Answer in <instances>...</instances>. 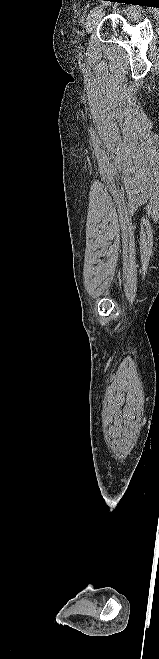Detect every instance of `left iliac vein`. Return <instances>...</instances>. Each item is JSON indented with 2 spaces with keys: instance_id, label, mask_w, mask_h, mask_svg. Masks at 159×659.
<instances>
[{
  "instance_id": "1",
  "label": "left iliac vein",
  "mask_w": 159,
  "mask_h": 659,
  "mask_svg": "<svg viewBox=\"0 0 159 659\" xmlns=\"http://www.w3.org/2000/svg\"><path fill=\"white\" fill-rule=\"evenodd\" d=\"M104 15V12L102 9H100L98 12L93 14L87 21L86 24V32L91 33L100 23L102 17Z\"/></svg>"
}]
</instances>
